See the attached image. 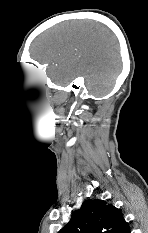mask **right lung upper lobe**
Here are the masks:
<instances>
[{"mask_svg": "<svg viewBox=\"0 0 148 233\" xmlns=\"http://www.w3.org/2000/svg\"><path fill=\"white\" fill-rule=\"evenodd\" d=\"M58 233H130L120 209L104 200H86Z\"/></svg>", "mask_w": 148, "mask_h": 233, "instance_id": "1", "label": "right lung upper lobe"}]
</instances>
